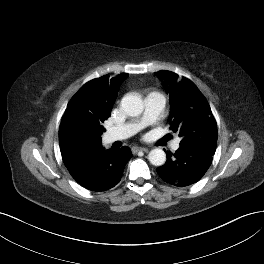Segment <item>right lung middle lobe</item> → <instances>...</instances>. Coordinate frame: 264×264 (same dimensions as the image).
<instances>
[{
    "mask_svg": "<svg viewBox=\"0 0 264 264\" xmlns=\"http://www.w3.org/2000/svg\"><path fill=\"white\" fill-rule=\"evenodd\" d=\"M103 131H104V129H103V126H101V127H99V129H98V131H97V134L95 135V137H94V139H101V134L103 133ZM81 141H83V140H80L79 138H76L75 140H74V142H81Z\"/></svg>",
    "mask_w": 264,
    "mask_h": 264,
    "instance_id": "right-lung-middle-lobe-1",
    "label": "right lung middle lobe"
}]
</instances>
